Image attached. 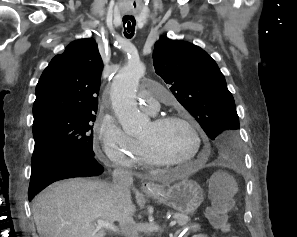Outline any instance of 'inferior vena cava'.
<instances>
[{
	"instance_id": "obj_1",
	"label": "inferior vena cava",
	"mask_w": 297,
	"mask_h": 237,
	"mask_svg": "<svg viewBox=\"0 0 297 237\" xmlns=\"http://www.w3.org/2000/svg\"><path fill=\"white\" fill-rule=\"evenodd\" d=\"M133 183L132 175L129 171L115 169L113 172L112 193L120 208H124V217L120 222L121 229L125 237H139L137 225L129 212L130 186Z\"/></svg>"
}]
</instances>
